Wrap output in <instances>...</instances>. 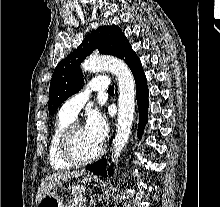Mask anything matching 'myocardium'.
I'll use <instances>...</instances> for the list:
<instances>
[{
	"label": "myocardium",
	"instance_id": "obj_1",
	"mask_svg": "<svg viewBox=\"0 0 220 207\" xmlns=\"http://www.w3.org/2000/svg\"><path fill=\"white\" fill-rule=\"evenodd\" d=\"M77 126L80 125L77 123H71L65 128L59 141V148H60L61 156L65 161H67L72 165L81 166L92 163L95 160H97L102 155L104 151V147L100 145L97 152L88 158L82 159L77 157L72 148V136Z\"/></svg>",
	"mask_w": 220,
	"mask_h": 207
}]
</instances>
